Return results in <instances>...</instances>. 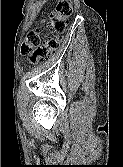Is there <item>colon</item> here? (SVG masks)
<instances>
[{
	"label": "colon",
	"instance_id": "obj_1",
	"mask_svg": "<svg viewBox=\"0 0 123 167\" xmlns=\"http://www.w3.org/2000/svg\"><path fill=\"white\" fill-rule=\"evenodd\" d=\"M72 11L73 7L70 0H59L51 14L50 27L55 34L58 35L64 32ZM59 44L60 40L57 36L50 37L41 42L39 31L32 30L25 36L21 52L27 56L28 64L37 65L45 61L49 54L58 48Z\"/></svg>",
	"mask_w": 123,
	"mask_h": 167
}]
</instances>
